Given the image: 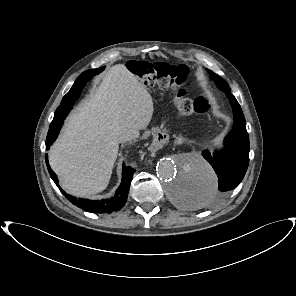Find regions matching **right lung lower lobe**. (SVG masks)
Here are the masks:
<instances>
[{
	"label": "right lung lower lobe",
	"mask_w": 296,
	"mask_h": 296,
	"mask_svg": "<svg viewBox=\"0 0 296 296\" xmlns=\"http://www.w3.org/2000/svg\"><path fill=\"white\" fill-rule=\"evenodd\" d=\"M97 73L93 72L92 70H87L83 72L75 81L74 85L70 89L69 93L71 94V98L74 99L76 97H79L85 83L93 76H95ZM72 106L70 105H62L59 106L54 114L53 121L50 124L48 135L46 138V149H49L50 145L54 142V140L57 138L60 128L63 124V120L66 117V115L71 110ZM46 164L48 167V171L50 173L51 178L55 182V184L58 186V179L56 174L51 170L48 163V158L46 154ZM135 172V169L131 167H127L123 165V171H122V182L120 186L118 187L115 195L110 199H102V200H88V199H81L73 197L66 192H64L61 188V192L63 195L73 204L77 207L92 213H112L115 211H119L124 204L126 203L130 183L133 178V173Z\"/></svg>",
	"instance_id": "obj_1"
}]
</instances>
